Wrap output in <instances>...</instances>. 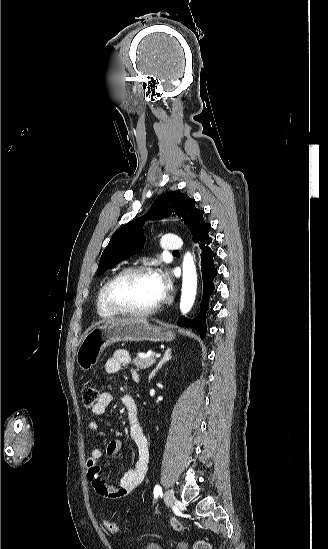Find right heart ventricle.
<instances>
[{
	"instance_id": "e07e8e85",
	"label": "right heart ventricle",
	"mask_w": 328,
	"mask_h": 549,
	"mask_svg": "<svg viewBox=\"0 0 328 549\" xmlns=\"http://www.w3.org/2000/svg\"><path fill=\"white\" fill-rule=\"evenodd\" d=\"M125 265H122L121 267H124ZM109 281L105 282L103 284V286L101 287L98 295H97V300H96V312L98 314V316L105 320V321H108L110 319H113V318H116L117 316H113V315H110L106 309H105V302H104V297H103V293H104V289L106 287V284L108 283Z\"/></svg>"
}]
</instances>
